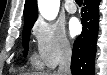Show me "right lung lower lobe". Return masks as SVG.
<instances>
[{
	"label": "right lung lower lobe",
	"instance_id": "98d812e1",
	"mask_svg": "<svg viewBox=\"0 0 107 75\" xmlns=\"http://www.w3.org/2000/svg\"><path fill=\"white\" fill-rule=\"evenodd\" d=\"M99 0H85L82 13V33L73 46L71 72L73 75H94L96 40L98 34Z\"/></svg>",
	"mask_w": 107,
	"mask_h": 75
}]
</instances>
